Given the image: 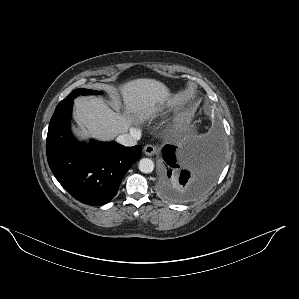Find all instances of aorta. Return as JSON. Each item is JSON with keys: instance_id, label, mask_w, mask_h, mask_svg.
I'll use <instances>...</instances> for the list:
<instances>
[{"instance_id": "aorta-1", "label": "aorta", "mask_w": 299, "mask_h": 299, "mask_svg": "<svg viewBox=\"0 0 299 299\" xmlns=\"http://www.w3.org/2000/svg\"><path fill=\"white\" fill-rule=\"evenodd\" d=\"M139 170L142 173H151L154 170V162L149 158H143L138 164Z\"/></svg>"}]
</instances>
